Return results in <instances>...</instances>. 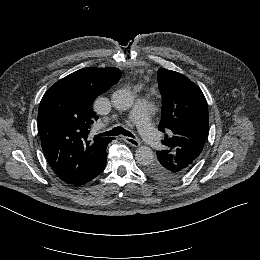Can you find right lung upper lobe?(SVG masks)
I'll list each match as a JSON object with an SVG mask.
<instances>
[{
    "mask_svg": "<svg viewBox=\"0 0 260 260\" xmlns=\"http://www.w3.org/2000/svg\"><path fill=\"white\" fill-rule=\"evenodd\" d=\"M120 77L117 68H84L59 80L44 94L38 111L41 145L64 182L85 179L106 164V147L113 138L88 137L98 119L92 103Z\"/></svg>",
    "mask_w": 260,
    "mask_h": 260,
    "instance_id": "obj_1",
    "label": "right lung upper lobe"
}]
</instances>
